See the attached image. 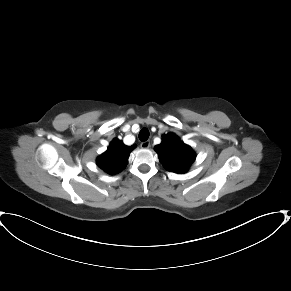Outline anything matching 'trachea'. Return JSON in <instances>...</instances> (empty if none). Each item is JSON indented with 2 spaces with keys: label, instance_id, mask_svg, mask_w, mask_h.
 <instances>
[{
  "label": "trachea",
  "instance_id": "obj_1",
  "mask_svg": "<svg viewBox=\"0 0 291 291\" xmlns=\"http://www.w3.org/2000/svg\"><path fill=\"white\" fill-rule=\"evenodd\" d=\"M149 130L147 128H143L141 129V131L139 132V139L140 141L144 142L149 138Z\"/></svg>",
  "mask_w": 291,
  "mask_h": 291
}]
</instances>
